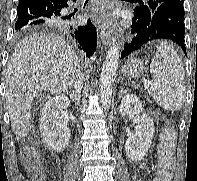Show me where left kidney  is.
<instances>
[{"label": "left kidney", "instance_id": "left-kidney-1", "mask_svg": "<svg viewBox=\"0 0 197 181\" xmlns=\"http://www.w3.org/2000/svg\"><path fill=\"white\" fill-rule=\"evenodd\" d=\"M120 114L136 115V133L129 137L125 142V151L128 158L132 161H141L150 148L155 132L153 119L143 112L142 103L134 95H126L120 105ZM142 113L140 116L139 114Z\"/></svg>", "mask_w": 197, "mask_h": 181}]
</instances>
